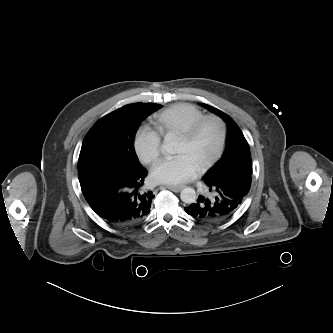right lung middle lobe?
I'll use <instances>...</instances> for the list:
<instances>
[{
  "instance_id": "obj_1",
  "label": "right lung middle lobe",
  "mask_w": 333,
  "mask_h": 333,
  "mask_svg": "<svg viewBox=\"0 0 333 333\" xmlns=\"http://www.w3.org/2000/svg\"><path fill=\"white\" fill-rule=\"evenodd\" d=\"M161 105L134 103L104 116L86 135L78 160V167L87 164L140 170L133 137L140 123Z\"/></svg>"
}]
</instances>
